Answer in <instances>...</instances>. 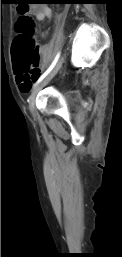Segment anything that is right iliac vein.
<instances>
[{
	"mask_svg": "<svg viewBox=\"0 0 122 257\" xmlns=\"http://www.w3.org/2000/svg\"><path fill=\"white\" fill-rule=\"evenodd\" d=\"M63 61H64V59L62 57L59 60V62L56 64L54 69L33 90L32 94L30 96V101H29V109H30L31 113H33V114L35 113V99H36V96H37L38 92L44 86H46L52 80V78L57 74V72L59 71V69L62 66Z\"/></svg>",
	"mask_w": 122,
	"mask_h": 257,
	"instance_id": "obj_1",
	"label": "right iliac vein"
}]
</instances>
